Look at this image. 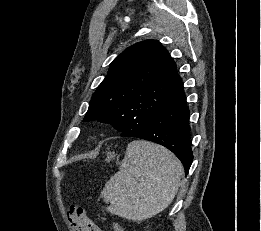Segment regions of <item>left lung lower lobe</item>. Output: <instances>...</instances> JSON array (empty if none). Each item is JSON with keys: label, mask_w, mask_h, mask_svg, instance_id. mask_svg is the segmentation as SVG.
<instances>
[{"label": "left lung lower lobe", "mask_w": 261, "mask_h": 231, "mask_svg": "<svg viewBox=\"0 0 261 231\" xmlns=\"http://www.w3.org/2000/svg\"><path fill=\"white\" fill-rule=\"evenodd\" d=\"M189 109L184 91L154 115L141 132L121 133L165 146L182 162L187 174L193 160L190 140Z\"/></svg>", "instance_id": "left-lung-lower-lobe-1"}]
</instances>
